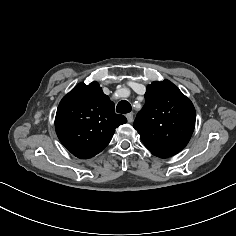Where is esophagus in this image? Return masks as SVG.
<instances>
[{
  "label": "esophagus",
  "instance_id": "obj_1",
  "mask_svg": "<svg viewBox=\"0 0 236 236\" xmlns=\"http://www.w3.org/2000/svg\"><path fill=\"white\" fill-rule=\"evenodd\" d=\"M126 118L129 123L133 122L134 119L133 113L126 114Z\"/></svg>",
  "mask_w": 236,
  "mask_h": 236
}]
</instances>
